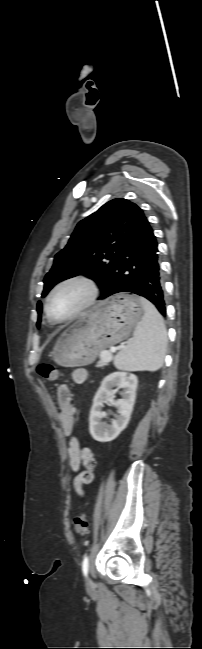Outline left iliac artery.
I'll return each mask as SVG.
<instances>
[{
    "mask_svg": "<svg viewBox=\"0 0 202 649\" xmlns=\"http://www.w3.org/2000/svg\"><path fill=\"white\" fill-rule=\"evenodd\" d=\"M88 568H89V559H88V556H84L83 562H82V571H83L84 576H87Z\"/></svg>",
    "mask_w": 202,
    "mask_h": 649,
    "instance_id": "44dca946",
    "label": "left iliac artery"
}]
</instances>
